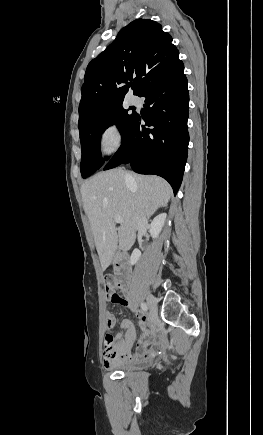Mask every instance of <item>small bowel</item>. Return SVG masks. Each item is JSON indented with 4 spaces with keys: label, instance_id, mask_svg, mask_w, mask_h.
I'll return each mask as SVG.
<instances>
[{
    "label": "small bowel",
    "instance_id": "small-bowel-1",
    "mask_svg": "<svg viewBox=\"0 0 263 435\" xmlns=\"http://www.w3.org/2000/svg\"><path fill=\"white\" fill-rule=\"evenodd\" d=\"M117 304L128 306L127 299L121 297ZM140 325L144 329L142 337L137 341L135 350L133 345L136 338L135 326L131 320L125 319L121 322L123 332L119 333L114 340V350H105L103 348V363L107 368H113L126 363L144 361L155 356L160 344L161 337L158 330L150 324L145 315H137ZM115 324V317L111 313L106 315V325L112 328ZM105 343V342H104Z\"/></svg>",
    "mask_w": 263,
    "mask_h": 435
}]
</instances>
